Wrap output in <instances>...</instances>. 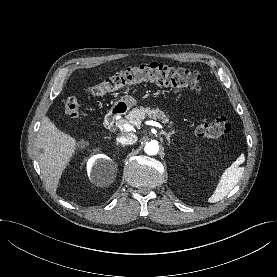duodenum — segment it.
Masks as SVG:
<instances>
[{
	"instance_id": "1",
	"label": "duodenum",
	"mask_w": 277,
	"mask_h": 277,
	"mask_svg": "<svg viewBox=\"0 0 277 277\" xmlns=\"http://www.w3.org/2000/svg\"><path fill=\"white\" fill-rule=\"evenodd\" d=\"M121 112H122V109L120 108H114L110 110L103 119L104 126L107 128H111L116 122Z\"/></svg>"
}]
</instances>
